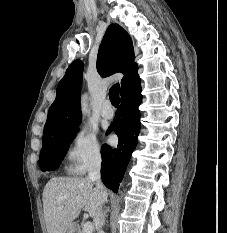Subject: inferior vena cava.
<instances>
[{"instance_id":"inferior-vena-cava-1","label":"inferior vena cava","mask_w":227,"mask_h":233,"mask_svg":"<svg viewBox=\"0 0 227 233\" xmlns=\"http://www.w3.org/2000/svg\"><path fill=\"white\" fill-rule=\"evenodd\" d=\"M100 168H101V156L97 155L90 162L89 169H88V179L96 183V188L99 189L101 191V193L103 194V202H104L106 200V197H105L104 187H103V184L101 182ZM103 202H102V204H103ZM95 218H96L98 227L99 228L102 227L104 225V222H105V217H104V214L102 212L101 206H100Z\"/></svg>"}]
</instances>
